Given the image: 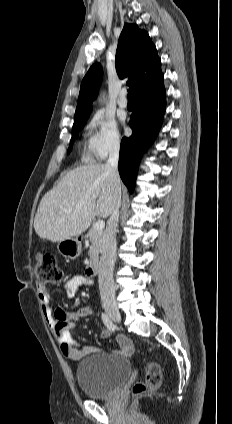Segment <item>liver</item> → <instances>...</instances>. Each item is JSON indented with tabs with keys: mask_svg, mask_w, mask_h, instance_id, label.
<instances>
[{
	"mask_svg": "<svg viewBox=\"0 0 232 424\" xmlns=\"http://www.w3.org/2000/svg\"><path fill=\"white\" fill-rule=\"evenodd\" d=\"M113 204L114 185L105 165L77 167L42 198L34 219L35 232L52 242L79 236L96 216L109 217Z\"/></svg>",
	"mask_w": 232,
	"mask_h": 424,
	"instance_id": "liver-1",
	"label": "liver"
}]
</instances>
